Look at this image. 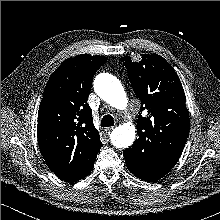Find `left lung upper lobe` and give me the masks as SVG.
Masks as SVG:
<instances>
[{
	"mask_svg": "<svg viewBox=\"0 0 220 220\" xmlns=\"http://www.w3.org/2000/svg\"><path fill=\"white\" fill-rule=\"evenodd\" d=\"M142 61L132 63L122 57L135 94L141 100L138 117V139L132 147L139 158L157 159L174 166L185 146L190 119L186 97L174 68L157 54H144Z\"/></svg>",
	"mask_w": 220,
	"mask_h": 220,
	"instance_id": "1",
	"label": "left lung upper lobe"
}]
</instances>
